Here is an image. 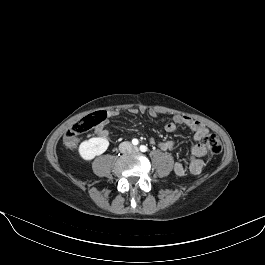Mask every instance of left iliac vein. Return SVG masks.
Instances as JSON below:
<instances>
[{"label": "left iliac vein", "instance_id": "1", "mask_svg": "<svg viewBox=\"0 0 265 265\" xmlns=\"http://www.w3.org/2000/svg\"><path fill=\"white\" fill-rule=\"evenodd\" d=\"M134 150H135V151H138V148H137V147H135V148H134Z\"/></svg>", "mask_w": 265, "mask_h": 265}]
</instances>
